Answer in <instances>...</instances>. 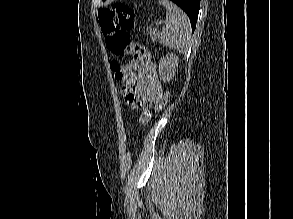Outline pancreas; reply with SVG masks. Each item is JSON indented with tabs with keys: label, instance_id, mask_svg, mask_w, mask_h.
Listing matches in <instances>:
<instances>
[{
	"label": "pancreas",
	"instance_id": "cf45deb5",
	"mask_svg": "<svg viewBox=\"0 0 293 219\" xmlns=\"http://www.w3.org/2000/svg\"><path fill=\"white\" fill-rule=\"evenodd\" d=\"M149 34H150L152 41H155L158 38V33L156 30H150Z\"/></svg>",
	"mask_w": 293,
	"mask_h": 219
}]
</instances>
